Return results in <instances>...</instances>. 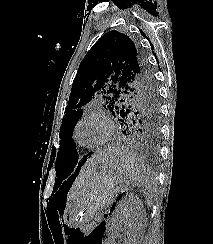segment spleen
Here are the masks:
<instances>
[{
	"label": "spleen",
	"instance_id": "spleen-1",
	"mask_svg": "<svg viewBox=\"0 0 213 244\" xmlns=\"http://www.w3.org/2000/svg\"><path fill=\"white\" fill-rule=\"evenodd\" d=\"M116 156L118 159L117 168L119 170L124 168L135 185L141 184L144 185L145 188L149 186V176L145 171L143 163L139 159H137L133 154L123 150H116ZM151 203V198L148 196L147 204L150 206Z\"/></svg>",
	"mask_w": 213,
	"mask_h": 244
}]
</instances>
